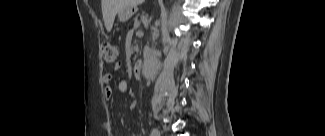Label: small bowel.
<instances>
[{
    "label": "small bowel",
    "instance_id": "1",
    "mask_svg": "<svg viewBox=\"0 0 325 136\" xmlns=\"http://www.w3.org/2000/svg\"><path fill=\"white\" fill-rule=\"evenodd\" d=\"M119 67H120L119 65H116L115 69H118ZM112 79H113V77L109 73H107L103 76V81L105 83L103 95L107 101H111L113 99V89L111 87ZM118 89L122 93H127L129 91L128 82L125 79H121L118 82Z\"/></svg>",
    "mask_w": 325,
    "mask_h": 136
}]
</instances>
